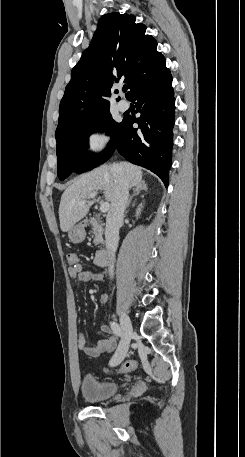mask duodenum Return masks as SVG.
I'll return each instance as SVG.
<instances>
[{"instance_id":"duodenum-1","label":"duodenum","mask_w":245,"mask_h":457,"mask_svg":"<svg viewBox=\"0 0 245 457\" xmlns=\"http://www.w3.org/2000/svg\"><path fill=\"white\" fill-rule=\"evenodd\" d=\"M94 262L97 266L103 267L110 262V254L105 250H100L96 253Z\"/></svg>"}]
</instances>
